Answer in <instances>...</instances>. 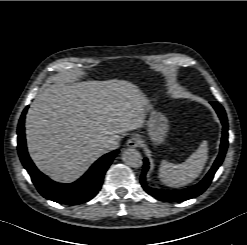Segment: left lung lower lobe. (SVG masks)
I'll list each match as a JSON object with an SVG mask.
<instances>
[{
    "label": "left lung lower lobe",
    "instance_id": "obj_1",
    "mask_svg": "<svg viewBox=\"0 0 247 245\" xmlns=\"http://www.w3.org/2000/svg\"><path fill=\"white\" fill-rule=\"evenodd\" d=\"M212 106L216 110L222 125H223V136H222V141H221V146H220V153L215 160L212 168L208 172V174L204 177V179L199 182L197 185L193 187H189L187 189L183 190H160V189H152L147 186L145 177L146 173L149 169V162L148 159H144V165H143V172L140 177V183L143 187V189L150 194L151 196L162 200L166 202H180L184 200H188L194 197H197L198 195L202 194L209 184L211 183L215 172L219 168V166L222 164L223 159L226 154V150L228 147V123H227V117L224 108L216 102H211Z\"/></svg>",
    "mask_w": 247,
    "mask_h": 245
}]
</instances>
